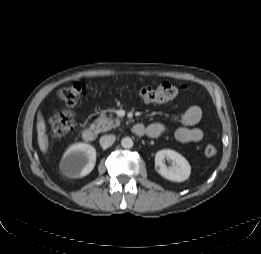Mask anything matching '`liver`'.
Returning <instances> with one entry per match:
<instances>
[{
  "mask_svg": "<svg viewBox=\"0 0 261 254\" xmlns=\"http://www.w3.org/2000/svg\"><path fill=\"white\" fill-rule=\"evenodd\" d=\"M37 131H38V145L40 150L45 153L47 150V142L44 136L45 133V124L42 121L41 118H39V121L37 123Z\"/></svg>",
  "mask_w": 261,
  "mask_h": 254,
  "instance_id": "liver-1",
  "label": "liver"
}]
</instances>
